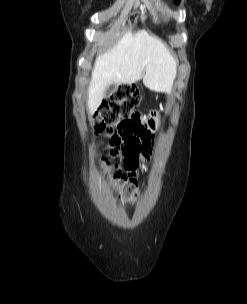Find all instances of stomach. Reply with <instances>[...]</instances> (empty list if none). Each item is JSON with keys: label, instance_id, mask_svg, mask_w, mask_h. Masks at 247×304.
Instances as JSON below:
<instances>
[{"label": "stomach", "instance_id": "0dacf381", "mask_svg": "<svg viewBox=\"0 0 247 304\" xmlns=\"http://www.w3.org/2000/svg\"><path fill=\"white\" fill-rule=\"evenodd\" d=\"M166 98L169 99L170 98V94L166 93Z\"/></svg>", "mask_w": 247, "mask_h": 304}]
</instances>
